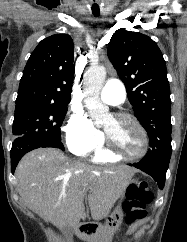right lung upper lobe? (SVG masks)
Here are the masks:
<instances>
[{"mask_svg": "<svg viewBox=\"0 0 187 242\" xmlns=\"http://www.w3.org/2000/svg\"><path fill=\"white\" fill-rule=\"evenodd\" d=\"M74 46L67 34L42 40L27 61L20 80L16 107L66 106L71 100Z\"/></svg>", "mask_w": 187, "mask_h": 242, "instance_id": "cb5924a9", "label": "right lung upper lobe"}]
</instances>
